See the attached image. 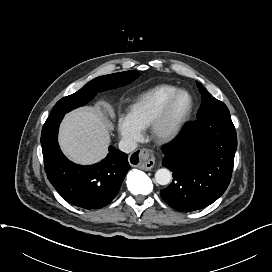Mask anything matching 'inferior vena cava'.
I'll list each match as a JSON object with an SVG mask.
<instances>
[{
	"label": "inferior vena cava",
	"instance_id": "602c4592",
	"mask_svg": "<svg viewBox=\"0 0 272 272\" xmlns=\"http://www.w3.org/2000/svg\"><path fill=\"white\" fill-rule=\"evenodd\" d=\"M138 144L129 139H122L119 142V149L125 153H130L137 148Z\"/></svg>",
	"mask_w": 272,
	"mask_h": 272
}]
</instances>
